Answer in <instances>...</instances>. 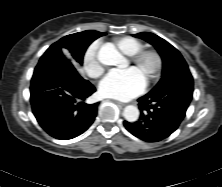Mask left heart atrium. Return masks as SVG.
I'll return each instance as SVG.
<instances>
[{
	"mask_svg": "<svg viewBox=\"0 0 222 187\" xmlns=\"http://www.w3.org/2000/svg\"><path fill=\"white\" fill-rule=\"evenodd\" d=\"M146 80L134 67L111 71L100 83L102 96L118 100H130L144 90Z\"/></svg>",
	"mask_w": 222,
	"mask_h": 187,
	"instance_id": "obj_1",
	"label": "left heart atrium"
}]
</instances>
